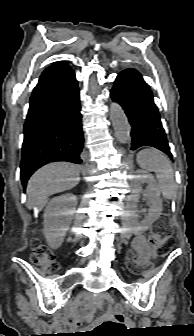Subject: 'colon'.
Listing matches in <instances>:
<instances>
[{
    "label": "colon",
    "mask_w": 194,
    "mask_h": 336,
    "mask_svg": "<svg viewBox=\"0 0 194 336\" xmlns=\"http://www.w3.org/2000/svg\"><path fill=\"white\" fill-rule=\"evenodd\" d=\"M172 234L173 228L168 221L165 219H160L157 221L149 236V244L154 254L163 251L169 245V240ZM31 259L47 272H56L59 269V264L56 261L53 253L38 241H34L32 244ZM127 263L131 269H138V258L134 253L128 255ZM124 320L125 314L123 306L121 304H115L113 306L112 318L100 324L97 328L90 332L89 335H119L125 330Z\"/></svg>",
    "instance_id": "colon-1"
}]
</instances>
